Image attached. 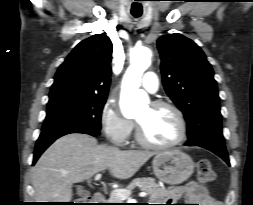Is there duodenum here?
<instances>
[{"instance_id":"1","label":"duodenum","mask_w":253,"mask_h":205,"mask_svg":"<svg viewBox=\"0 0 253 205\" xmlns=\"http://www.w3.org/2000/svg\"><path fill=\"white\" fill-rule=\"evenodd\" d=\"M93 200H94L95 203L100 204V203L104 202L105 197H104L103 193H101V192H96V193L93 195Z\"/></svg>"}]
</instances>
